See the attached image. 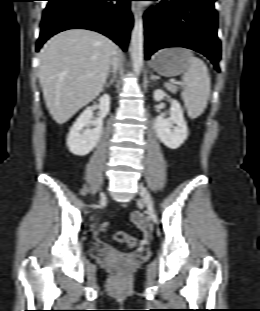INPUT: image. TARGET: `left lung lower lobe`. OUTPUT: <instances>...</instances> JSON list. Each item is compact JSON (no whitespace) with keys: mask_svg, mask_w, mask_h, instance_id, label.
Listing matches in <instances>:
<instances>
[{"mask_svg":"<svg viewBox=\"0 0 260 311\" xmlns=\"http://www.w3.org/2000/svg\"><path fill=\"white\" fill-rule=\"evenodd\" d=\"M146 59L161 48L185 47L204 54L219 71L221 44L214 2L163 0L144 15Z\"/></svg>","mask_w":260,"mask_h":311,"instance_id":"left-lung-lower-lobe-1","label":"left lung lower lobe"}]
</instances>
